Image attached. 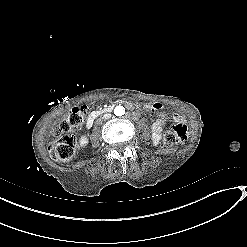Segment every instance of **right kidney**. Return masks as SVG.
I'll return each instance as SVG.
<instances>
[{"label": "right kidney", "instance_id": "1", "mask_svg": "<svg viewBox=\"0 0 247 247\" xmlns=\"http://www.w3.org/2000/svg\"><path fill=\"white\" fill-rule=\"evenodd\" d=\"M88 144H89V138L83 135L79 139L78 148L81 150L83 148H86Z\"/></svg>", "mask_w": 247, "mask_h": 247}]
</instances>
